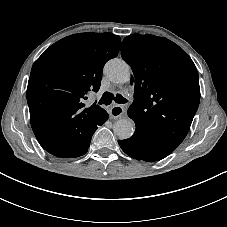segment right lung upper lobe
I'll use <instances>...</instances> for the list:
<instances>
[{
	"instance_id": "obj_1",
	"label": "right lung upper lobe",
	"mask_w": 227,
	"mask_h": 227,
	"mask_svg": "<svg viewBox=\"0 0 227 227\" xmlns=\"http://www.w3.org/2000/svg\"><path fill=\"white\" fill-rule=\"evenodd\" d=\"M120 42L112 33L74 34L51 45L35 61L27 102L32 129L43 148L79 149L108 119L100 106L85 108L83 101L89 91L99 90L104 64L117 56Z\"/></svg>"
}]
</instances>
